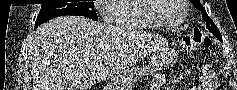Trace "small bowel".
<instances>
[{"label": "small bowel", "mask_w": 237, "mask_h": 90, "mask_svg": "<svg viewBox=\"0 0 237 90\" xmlns=\"http://www.w3.org/2000/svg\"><path fill=\"white\" fill-rule=\"evenodd\" d=\"M166 81L167 77L165 74H156L149 90H162V87L165 85ZM216 85L217 78L215 73L209 66H204L199 78V84L191 88V90H215Z\"/></svg>", "instance_id": "c3829d8e"}]
</instances>
